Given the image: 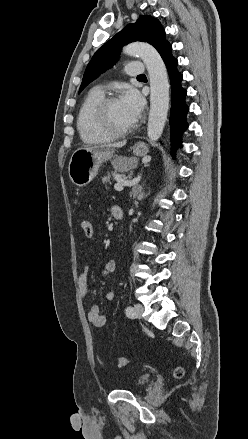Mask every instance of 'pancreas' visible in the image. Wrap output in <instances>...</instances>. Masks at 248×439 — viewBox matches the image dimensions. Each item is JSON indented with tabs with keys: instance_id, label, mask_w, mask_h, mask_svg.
<instances>
[{
	"instance_id": "cf45deb5",
	"label": "pancreas",
	"mask_w": 248,
	"mask_h": 439,
	"mask_svg": "<svg viewBox=\"0 0 248 439\" xmlns=\"http://www.w3.org/2000/svg\"><path fill=\"white\" fill-rule=\"evenodd\" d=\"M111 178H113V179H115V180H120V179H124L125 178V176L124 175H121V174H118L116 171H114V172H111V173H108L106 176H104L103 178H102V181L105 183V182H110V179Z\"/></svg>"
}]
</instances>
